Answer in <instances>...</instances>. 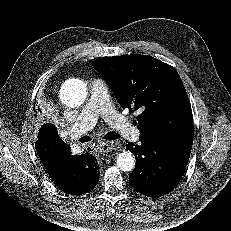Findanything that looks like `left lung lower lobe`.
Instances as JSON below:
<instances>
[{
    "mask_svg": "<svg viewBox=\"0 0 231 231\" xmlns=\"http://www.w3.org/2000/svg\"><path fill=\"white\" fill-rule=\"evenodd\" d=\"M126 148L135 154L137 163L129 177L141 194L157 198L173 190L181 180L191 150H178L157 140H140Z\"/></svg>",
    "mask_w": 231,
    "mask_h": 231,
    "instance_id": "left-lung-lower-lobe-1",
    "label": "left lung lower lobe"
}]
</instances>
